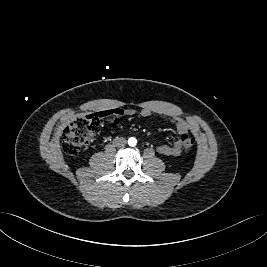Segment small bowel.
I'll return each mask as SVG.
<instances>
[{
    "label": "small bowel",
    "mask_w": 267,
    "mask_h": 267,
    "mask_svg": "<svg viewBox=\"0 0 267 267\" xmlns=\"http://www.w3.org/2000/svg\"><path fill=\"white\" fill-rule=\"evenodd\" d=\"M98 113L101 114L103 117L112 116L114 123L118 124L120 116L122 115L132 116L136 114V110L131 109V108L125 109V110L112 109V110L100 111ZM139 114L142 117H151V116L157 115L158 112L152 109H149V108H144L140 110ZM172 122L175 125L176 131L180 135V139L174 141L172 144H161L157 147L158 152L166 156H177L180 154L182 147H183L181 136L184 134H187L189 131V126L183 119L173 117Z\"/></svg>",
    "instance_id": "small-bowel-1"
}]
</instances>
